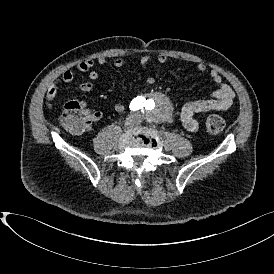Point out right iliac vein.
<instances>
[{
  "label": "right iliac vein",
  "mask_w": 274,
  "mask_h": 274,
  "mask_svg": "<svg viewBox=\"0 0 274 274\" xmlns=\"http://www.w3.org/2000/svg\"><path fill=\"white\" fill-rule=\"evenodd\" d=\"M136 124V118L134 116H129L124 122V126L127 128H132Z\"/></svg>",
  "instance_id": "1"
}]
</instances>
